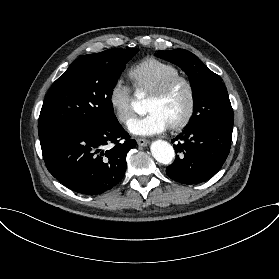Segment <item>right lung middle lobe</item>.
Returning a JSON list of instances; mask_svg holds the SVG:
<instances>
[{"label":"right lung middle lobe","instance_id":"1","mask_svg":"<svg viewBox=\"0 0 279 279\" xmlns=\"http://www.w3.org/2000/svg\"><path fill=\"white\" fill-rule=\"evenodd\" d=\"M137 52L113 48L77 58L53 83L43 102L38 121L41 147L69 132L117 122L113 89Z\"/></svg>","mask_w":279,"mask_h":279}]
</instances>
